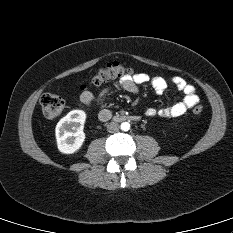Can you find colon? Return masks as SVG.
<instances>
[{"label":"colon","instance_id":"1","mask_svg":"<svg viewBox=\"0 0 233 233\" xmlns=\"http://www.w3.org/2000/svg\"><path fill=\"white\" fill-rule=\"evenodd\" d=\"M130 72L131 69L127 65L121 62H113L99 69L91 78L90 85L99 86L111 80L122 78ZM40 105L43 115L50 120L58 118L65 107L63 99L51 93H45L42 95ZM202 111L203 106L200 104L196 105L192 110L195 115L200 114Z\"/></svg>","mask_w":233,"mask_h":233}]
</instances>
